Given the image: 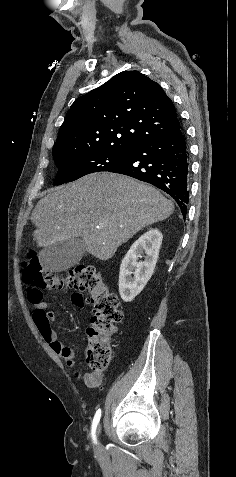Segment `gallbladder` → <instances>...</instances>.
<instances>
[{"label": "gallbladder", "mask_w": 236, "mask_h": 477, "mask_svg": "<svg viewBox=\"0 0 236 477\" xmlns=\"http://www.w3.org/2000/svg\"><path fill=\"white\" fill-rule=\"evenodd\" d=\"M84 253V242L79 238H72L45 247L40 253V262L51 272H61L78 263Z\"/></svg>", "instance_id": "1"}]
</instances>
